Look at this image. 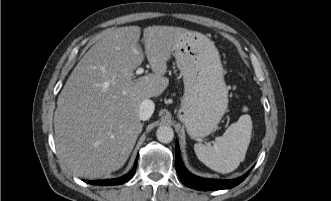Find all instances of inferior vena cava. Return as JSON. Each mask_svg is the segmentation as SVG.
I'll return each instance as SVG.
<instances>
[{
  "label": "inferior vena cava",
  "instance_id": "inferior-vena-cava-1",
  "mask_svg": "<svg viewBox=\"0 0 331 201\" xmlns=\"http://www.w3.org/2000/svg\"><path fill=\"white\" fill-rule=\"evenodd\" d=\"M154 102L152 100L149 99H145L144 101H142L140 107H139V118L140 120H148L151 115L154 112Z\"/></svg>",
  "mask_w": 331,
  "mask_h": 201
}]
</instances>
